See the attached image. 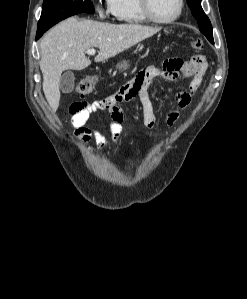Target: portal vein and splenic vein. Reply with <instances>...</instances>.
<instances>
[{"label":"portal vein and splenic vein","instance_id":"1","mask_svg":"<svg viewBox=\"0 0 247 299\" xmlns=\"http://www.w3.org/2000/svg\"><path fill=\"white\" fill-rule=\"evenodd\" d=\"M87 53L90 54V55H93L96 53V50L94 48H90L87 50Z\"/></svg>","mask_w":247,"mask_h":299}]
</instances>
